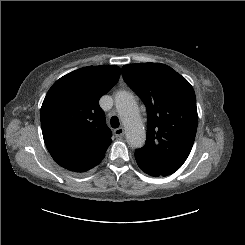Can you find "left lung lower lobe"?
<instances>
[{"label": "left lung lower lobe", "mask_w": 245, "mask_h": 245, "mask_svg": "<svg viewBox=\"0 0 245 245\" xmlns=\"http://www.w3.org/2000/svg\"><path fill=\"white\" fill-rule=\"evenodd\" d=\"M138 166L147 174L159 177L173 174L178 169L164 162L151 163L135 154Z\"/></svg>", "instance_id": "1"}]
</instances>
